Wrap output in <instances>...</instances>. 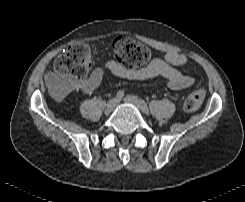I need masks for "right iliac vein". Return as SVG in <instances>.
Here are the masks:
<instances>
[{
	"mask_svg": "<svg viewBox=\"0 0 245 202\" xmlns=\"http://www.w3.org/2000/svg\"><path fill=\"white\" fill-rule=\"evenodd\" d=\"M117 104H118L117 98L110 99L105 107V113L106 114L111 113L114 110V108L117 106Z\"/></svg>",
	"mask_w": 245,
	"mask_h": 202,
	"instance_id": "obj_1",
	"label": "right iliac vein"
}]
</instances>
